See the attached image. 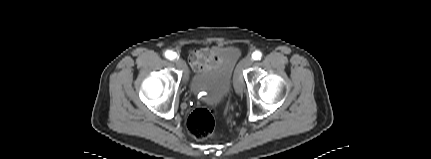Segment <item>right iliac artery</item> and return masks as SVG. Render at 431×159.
<instances>
[{
	"label": "right iliac artery",
	"instance_id": "82829eb1",
	"mask_svg": "<svg viewBox=\"0 0 431 159\" xmlns=\"http://www.w3.org/2000/svg\"><path fill=\"white\" fill-rule=\"evenodd\" d=\"M165 57L170 59V60H173L177 57V54L173 51L168 50L165 52Z\"/></svg>",
	"mask_w": 431,
	"mask_h": 159
}]
</instances>
